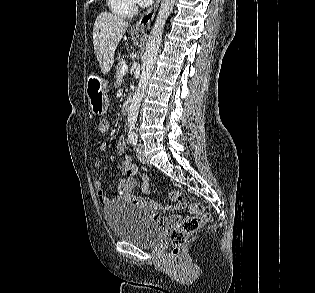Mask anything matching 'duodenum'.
<instances>
[{
  "label": "duodenum",
  "mask_w": 315,
  "mask_h": 293,
  "mask_svg": "<svg viewBox=\"0 0 315 293\" xmlns=\"http://www.w3.org/2000/svg\"><path fill=\"white\" fill-rule=\"evenodd\" d=\"M130 105H131V97H127L123 103V106H122V112L123 114H128L129 112V109H130Z\"/></svg>",
  "instance_id": "410a0bca"
}]
</instances>
